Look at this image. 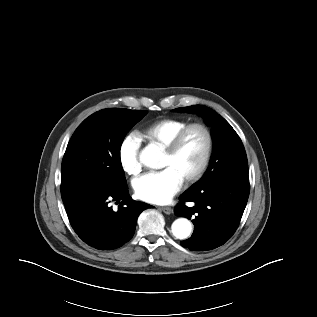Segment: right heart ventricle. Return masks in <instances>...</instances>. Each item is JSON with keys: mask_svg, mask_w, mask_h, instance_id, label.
<instances>
[{"mask_svg": "<svg viewBox=\"0 0 317 317\" xmlns=\"http://www.w3.org/2000/svg\"><path fill=\"white\" fill-rule=\"evenodd\" d=\"M187 124L188 121L184 119L163 118L145 127L140 136L149 143L165 149L173 137Z\"/></svg>", "mask_w": 317, "mask_h": 317, "instance_id": "e07e8e85", "label": "right heart ventricle"}]
</instances>
